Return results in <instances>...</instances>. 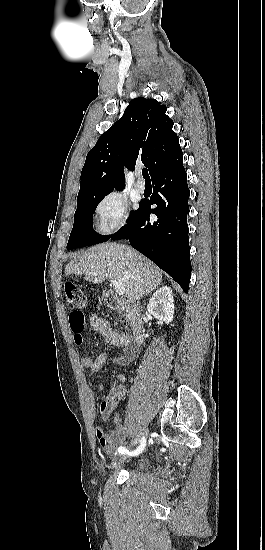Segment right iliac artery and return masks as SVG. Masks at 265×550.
Returning a JSON list of instances; mask_svg holds the SVG:
<instances>
[{
  "instance_id": "1",
  "label": "right iliac artery",
  "mask_w": 265,
  "mask_h": 550,
  "mask_svg": "<svg viewBox=\"0 0 265 550\" xmlns=\"http://www.w3.org/2000/svg\"><path fill=\"white\" fill-rule=\"evenodd\" d=\"M145 446H146V439H145L144 437H142L141 443H140L139 447H138L135 451L129 452L125 447L120 446V447L118 448V452L121 453V454L138 455V454H140V453L144 450Z\"/></svg>"
}]
</instances>
